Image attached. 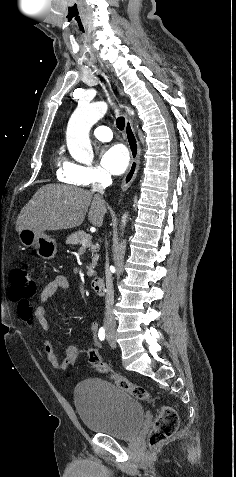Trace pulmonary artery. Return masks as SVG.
<instances>
[{"mask_svg": "<svg viewBox=\"0 0 236 477\" xmlns=\"http://www.w3.org/2000/svg\"><path fill=\"white\" fill-rule=\"evenodd\" d=\"M93 135L100 141L108 142L112 139L113 135L110 128L106 126H97L93 129Z\"/></svg>", "mask_w": 236, "mask_h": 477, "instance_id": "1", "label": "pulmonary artery"}]
</instances>
